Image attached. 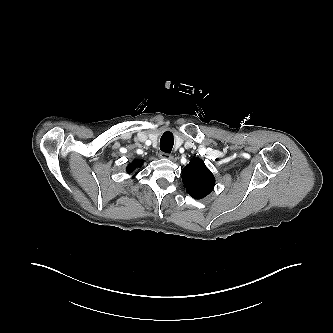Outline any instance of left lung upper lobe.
Instances as JSON below:
<instances>
[{
	"label": "left lung upper lobe",
	"instance_id": "5c2ea615",
	"mask_svg": "<svg viewBox=\"0 0 333 333\" xmlns=\"http://www.w3.org/2000/svg\"><path fill=\"white\" fill-rule=\"evenodd\" d=\"M182 181L187 193L195 199H202L214 188L215 178L204 161L195 158L182 171Z\"/></svg>",
	"mask_w": 333,
	"mask_h": 333
}]
</instances>
